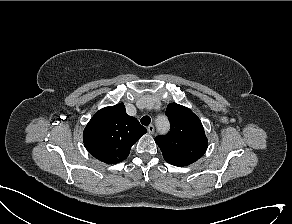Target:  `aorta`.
I'll return each instance as SVG.
<instances>
[{
    "instance_id": "1",
    "label": "aorta",
    "mask_w": 292,
    "mask_h": 224,
    "mask_svg": "<svg viewBox=\"0 0 292 224\" xmlns=\"http://www.w3.org/2000/svg\"><path fill=\"white\" fill-rule=\"evenodd\" d=\"M156 126L159 131H167L169 129V122L165 116H159L156 119Z\"/></svg>"
}]
</instances>
